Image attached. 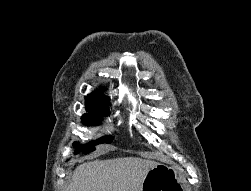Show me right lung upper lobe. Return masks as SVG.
<instances>
[{
  "label": "right lung upper lobe",
  "mask_w": 251,
  "mask_h": 191,
  "mask_svg": "<svg viewBox=\"0 0 251 191\" xmlns=\"http://www.w3.org/2000/svg\"><path fill=\"white\" fill-rule=\"evenodd\" d=\"M108 97L102 95L101 92L91 93L86 97V110L91 108L108 107Z\"/></svg>",
  "instance_id": "cb5924a9"
}]
</instances>
